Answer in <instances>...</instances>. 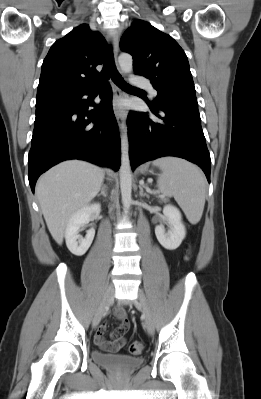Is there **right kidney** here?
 I'll return each instance as SVG.
<instances>
[{
    "mask_svg": "<svg viewBox=\"0 0 261 399\" xmlns=\"http://www.w3.org/2000/svg\"><path fill=\"white\" fill-rule=\"evenodd\" d=\"M100 210L101 205L94 203L82 207L69 218L65 230V240L67 248L72 254L82 256L89 249L95 236V230H88L85 238L79 235V230L89 223L93 213H98Z\"/></svg>",
    "mask_w": 261,
    "mask_h": 399,
    "instance_id": "1",
    "label": "right kidney"
}]
</instances>
